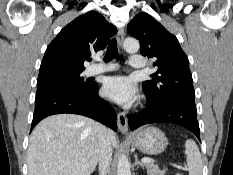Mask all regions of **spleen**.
<instances>
[{
	"instance_id": "spleen-1",
	"label": "spleen",
	"mask_w": 233,
	"mask_h": 175,
	"mask_svg": "<svg viewBox=\"0 0 233 175\" xmlns=\"http://www.w3.org/2000/svg\"><path fill=\"white\" fill-rule=\"evenodd\" d=\"M185 154L187 165L189 168V175H202V158L197 144L188 139L185 142Z\"/></svg>"
}]
</instances>
